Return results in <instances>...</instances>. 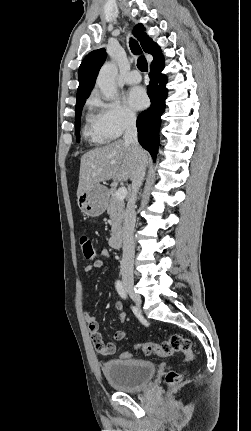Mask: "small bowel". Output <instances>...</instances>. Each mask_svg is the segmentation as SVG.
Listing matches in <instances>:
<instances>
[{"mask_svg":"<svg viewBox=\"0 0 251 431\" xmlns=\"http://www.w3.org/2000/svg\"><path fill=\"white\" fill-rule=\"evenodd\" d=\"M101 256L110 258V252L106 249L101 251ZM104 266L103 261L95 260L92 263L86 265L83 268L85 274H90L94 269H99ZM115 308L120 312L119 318L122 323L126 322V314L123 311V305L121 302L115 303ZM84 319L88 327V331L91 337V341L95 350L102 355H111L116 351V342L121 341L127 337L125 330H118L112 335V342L105 343L103 337L99 331V323L96 318L89 312L84 313Z\"/></svg>","mask_w":251,"mask_h":431,"instance_id":"obj_1","label":"small bowel"}]
</instances>
